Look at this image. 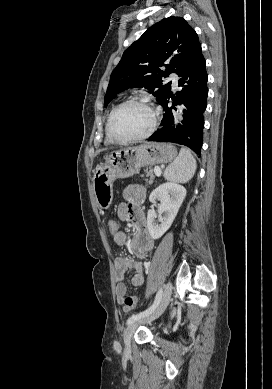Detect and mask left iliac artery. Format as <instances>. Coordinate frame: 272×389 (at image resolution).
<instances>
[{"instance_id":"left-iliac-artery-1","label":"left iliac artery","mask_w":272,"mask_h":389,"mask_svg":"<svg viewBox=\"0 0 272 389\" xmlns=\"http://www.w3.org/2000/svg\"><path fill=\"white\" fill-rule=\"evenodd\" d=\"M162 293H163V290L161 288L157 292L153 304L148 309H146L145 311L137 313V314L132 315L131 317H129L128 320H127V324L129 325V324H131V323L141 319L142 317H145L148 314H150L157 307V305L159 304V302L161 300V297H162Z\"/></svg>"}]
</instances>
